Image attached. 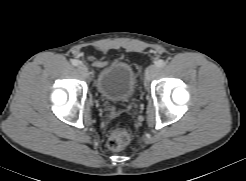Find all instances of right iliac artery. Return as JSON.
<instances>
[{"mask_svg":"<svg viewBox=\"0 0 246 181\" xmlns=\"http://www.w3.org/2000/svg\"><path fill=\"white\" fill-rule=\"evenodd\" d=\"M71 63H72V65H74V66H78V65L80 64V61H79V60H76V59H73V60L71 61Z\"/></svg>","mask_w":246,"mask_h":181,"instance_id":"1","label":"right iliac artery"}]
</instances>
